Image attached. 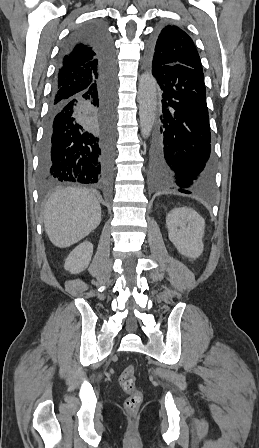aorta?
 <instances>
[{"mask_svg":"<svg viewBox=\"0 0 259 448\" xmlns=\"http://www.w3.org/2000/svg\"><path fill=\"white\" fill-rule=\"evenodd\" d=\"M140 130L143 137H149L154 126L157 108V88L155 78L143 73L138 87Z\"/></svg>","mask_w":259,"mask_h":448,"instance_id":"aorta-1","label":"aorta"}]
</instances>
